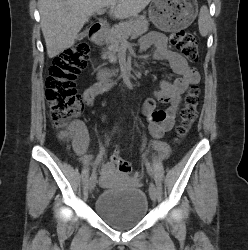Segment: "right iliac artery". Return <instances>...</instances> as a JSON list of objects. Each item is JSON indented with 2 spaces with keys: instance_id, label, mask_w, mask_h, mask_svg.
Returning <instances> with one entry per match:
<instances>
[{
  "instance_id": "right-iliac-artery-1",
  "label": "right iliac artery",
  "mask_w": 248,
  "mask_h": 250,
  "mask_svg": "<svg viewBox=\"0 0 248 250\" xmlns=\"http://www.w3.org/2000/svg\"><path fill=\"white\" fill-rule=\"evenodd\" d=\"M96 173V168L94 167L93 169H92V175H94Z\"/></svg>"
}]
</instances>
